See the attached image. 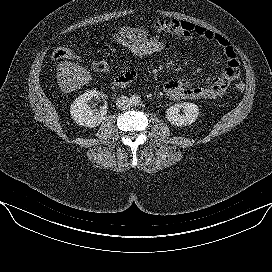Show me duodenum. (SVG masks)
Here are the masks:
<instances>
[{
    "label": "duodenum",
    "mask_w": 272,
    "mask_h": 272,
    "mask_svg": "<svg viewBox=\"0 0 272 272\" xmlns=\"http://www.w3.org/2000/svg\"><path fill=\"white\" fill-rule=\"evenodd\" d=\"M130 82H131L130 77L127 76L126 74H123L114 78L112 84L116 87H124L128 85Z\"/></svg>",
    "instance_id": "duodenum-1"
}]
</instances>
